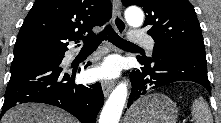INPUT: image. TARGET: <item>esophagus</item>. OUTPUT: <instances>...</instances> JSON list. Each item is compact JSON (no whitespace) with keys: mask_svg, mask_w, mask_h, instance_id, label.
Instances as JSON below:
<instances>
[{"mask_svg":"<svg viewBox=\"0 0 221 123\" xmlns=\"http://www.w3.org/2000/svg\"><path fill=\"white\" fill-rule=\"evenodd\" d=\"M113 25L118 33L124 34L127 25L121 14V4L119 0H113ZM114 84L109 81H105L102 85L103 94L105 97L112 91Z\"/></svg>","mask_w":221,"mask_h":123,"instance_id":"1","label":"esophagus"}]
</instances>
